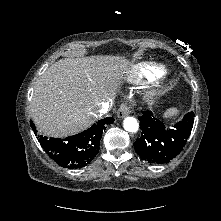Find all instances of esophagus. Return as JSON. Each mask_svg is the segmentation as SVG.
Here are the masks:
<instances>
[{
	"label": "esophagus",
	"mask_w": 221,
	"mask_h": 221,
	"mask_svg": "<svg viewBox=\"0 0 221 221\" xmlns=\"http://www.w3.org/2000/svg\"><path fill=\"white\" fill-rule=\"evenodd\" d=\"M129 113H130V107L126 103L121 104L117 110L118 118H124Z\"/></svg>",
	"instance_id": "esophagus-1"
}]
</instances>
